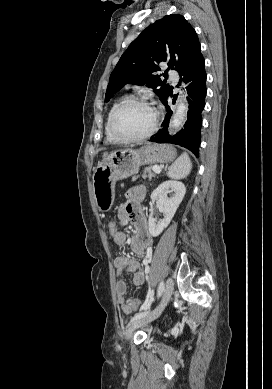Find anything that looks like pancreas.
I'll return each instance as SVG.
<instances>
[{"mask_svg": "<svg viewBox=\"0 0 272 389\" xmlns=\"http://www.w3.org/2000/svg\"><path fill=\"white\" fill-rule=\"evenodd\" d=\"M152 169L153 167L152 166H149V167H145L144 168V174L142 175L143 178H146L148 177L149 179H151L152 177H154V173L152 172ZM136 179V178H135Z\"/></svg>", "mask_w": 272, "mask_h": 389, "instance_id": "cf45deb5", "label": "pancreas"}]
</instances>
